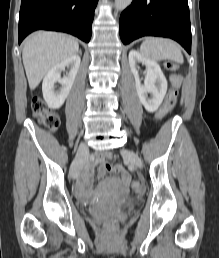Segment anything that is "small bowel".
<instances>
[{"label": "small bowel", "instance_id": "1", "mask_svg": "<svg viewBox=\"0 0 219 258\" xmlns=\"http://www.w3.org/2000/svg\"><path fill=\"white\" fill-rule=\"evenodd\" d=\"M170 84L179 86L183 84L182 77L179 75H171L170 76ZM109 158V155L104 156H96L93 158V162L99 166V175L104 176L108 169L114 167V162H106V159ZM114 172H116L117 176H120L121 184H129V179L132 178L131 174H128V171H125L124 167H114ZM93 180V171L89 170L84 173L77 184V192L78 194L86 198L89 196L88 186L91 184Z\"/></svg>", "mask_w": 219, "mask_h": 258}]
</instances>
